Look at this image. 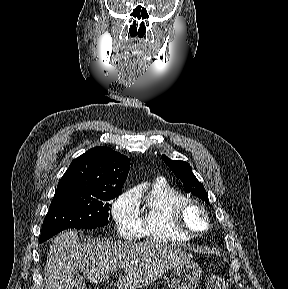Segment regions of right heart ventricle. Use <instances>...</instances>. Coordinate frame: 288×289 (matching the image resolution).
<instances>
[{
    "instance_id": "1",
    "label": "right heart ventricle",
    "mask_w": 288,
    "mask_h": 289,
    "mask_svg": "<svg viewBox=\"0 0 288 289\" xmlns=\"http://www.w3.org/2000/svg\"><path fill=\"white\" fill-rule=\"evenodd\" d=\"M134 198L140 223L138 236L160 244H178L191 239L175 227L171 216L172 207L187 198L182 191L158 180Z\"/></svg>"
}]
</instances>
